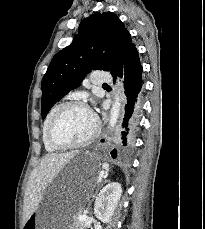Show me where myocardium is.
Here are the masks:
<instances>
[{
    "label": "myocardium",
    "mask_w": 205,
    "mask_h": 229,
    "mask_svg": "<svg viewBox=\"0 0 205 229\" xmlns=\"http://www.w3.org/2000/svg\"><path fill=\"white\" fill-rule=\"evenodd\" d=\"M75 106L84 107L87 110H89V108L86 106V104L80 100L67 101V102H64L63 104H61L59 106V108L56 110V112L54 113V115L50 121V124L48 127V132H47V138H48L49 143L57 149H72V148H79V147L86 146L89 143H91L99 134L100 121H99L98 117L89 110L90 113L92 114L93 118H94V128H93V131L91 132V134L87 138H85L79 142H75V143H60L55 139L54 130H55V127H56L60 117L68 108L75 107Z\"/></svg>",
    "instance_id": "f54148a6"
}]
</instances>
